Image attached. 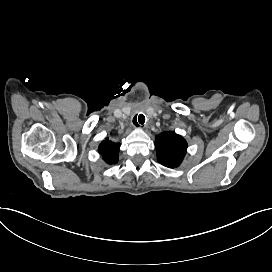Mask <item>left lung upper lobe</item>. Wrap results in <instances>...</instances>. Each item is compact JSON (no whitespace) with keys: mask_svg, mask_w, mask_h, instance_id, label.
<instances>
[{"mask_svg":"<svg viewBox=\"0 0 272 272\" xmlns=\"http://www.w3.org/2000/svg\"><path fill=\"white\" fill-rule=\"evenodd\" d=\"M155 147L158 162L166 167L175 168L184 159L187 142L175 132L165 131L156 136Z\"/></svg>","mask_w":272,"mask_h":272,"instance_id":"1","label":"left lung upper lobe"}]
</instances>
